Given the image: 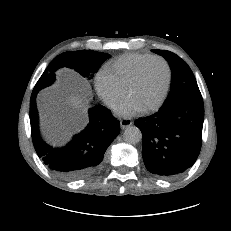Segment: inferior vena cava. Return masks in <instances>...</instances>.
<instances>
[{
    "mask_svg": "<svg viewBox=\"0 0 231 231\" xmlns=\"http://www.w3.org/2000/svg\"><path fill=\"white\" fill-rule=\"evenodd\" d=\"M112 104H113L112 101H110V100L107 101V105L112 106Z\"/></svg>",
    "mask_w": 231,
    "mask_h": 231,
    "instance_id": "1",
    "label": "inferior vena cava"
}]
</instances>
